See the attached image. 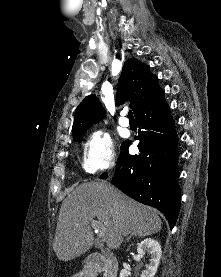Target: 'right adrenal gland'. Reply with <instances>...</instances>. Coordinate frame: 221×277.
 <instances>
[{
  "mask_svg": "<svg viewBox=\"0 0 221 277\" xmlns=\"http://www.w3.org/2000/svg\"><path fill=\"white\" fill-rule=\"evenodd\" d=\"M132 236H133V235L128 236V237L126 238V241H129L130 238H131Z\"/></svg>",
  "mask_w": 221,
  "mask_h": 277,
  "instance_id": "2a0ac1e0",
  "label": "right adrenal gland"
}]
</instances>
